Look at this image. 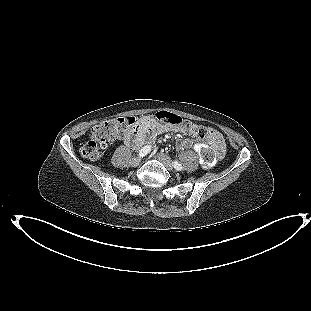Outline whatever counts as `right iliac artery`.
<instances>
[{
    "label": "right iliac artery",
    "instance_id": "1",
    "mask_svg": "<svg viewBox=\"0 0 311 311\" xmlns=\"http://www.w3.org/2000/svg\"><path fill=\"white\" fill-rule=\"evenodd\" d=\"M151 151V146H145L143 147L140 151H139V156L140 157H144L145 155H147L149 152Z\"/></svg>",
    "mask_w": 311,
    "mask_h": 311
}]
</instances>
